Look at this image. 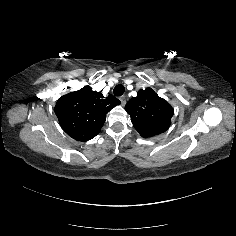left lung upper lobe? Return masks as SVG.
Instances as JSON below:
<instances>
[{
  "label": "left lung upper lobe",
  "mask_w": 236,
  "mask_h": 236,
  "mask_svg": "<svg viewBox=\"0 0 236 236\" xmlns=\"http://www.w3.org/2000/svg\"><path fill=\"white\" fill-rule=\"evenodd\" d=\"M125 110L130 114L133 126L144 138L165 132L173 115L171 105L151 88L139 90L137 97L128 101Z\"/></svg>",
  "instance_id": "obj_1"
}]
</instances>
